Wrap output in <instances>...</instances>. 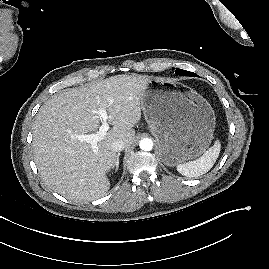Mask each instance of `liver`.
<instances>
[{
	"label": "liver",
	"instance_id": "1",
	"mask_svg": "<svg viewBox=\"0 0 269 269\" xmlns=\"http://www.w3.org/2000/svg\"><path fill=\"white\" fill-rule=\"evenodd\" d=\"M149 80L144 75H116L57 93L44 103L32 132L34 161L49 188L72 201H92L107 193V174L117 157L111 145L116 140L126 147L133 143V127L141 119V99ZM99 108L107 111L113 127L94 153L91 144L75 136L99 128Z\"/></svg>",
	"mask_w": 269,
	"mask_h": 269
}]
</instances>
